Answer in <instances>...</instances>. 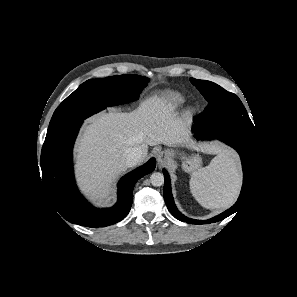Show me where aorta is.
Masks as SVG:
<instances>
[{
  "label": "aorta",
  "instance_id": "aorta-1",
  "mask_svg": "<svg viewBox=\"0 0 297 297\" xmlns=\"http://www.w3.org/2000/svg\"><path fill=\"white\" fill-rule=\"evenodd\" d=\"M150 182L153 186H161L164 184V176L162 173L154 172L150 176Z\"/></svg>",
  "mask_w": 297,
  "mask_h": 297
}]
</instances>
